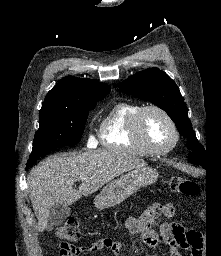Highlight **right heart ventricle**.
Here are the masks:
<instances>
[{"mask_svg": "<svg viewBox=\"0 0 221 256\" xmlns=\"http://www.w3.org/2000/svg\"><path fill=\"white\" fill-rule=\"evenodd\" d=\"M142 108L133 102L115 103L102 117L99 139L107 149L145 156L148 153L131 136V125L136 113Z\"/></svg>", "mask_w": 221, "mask_h": 256, "instance_id": "right-heart-ventricle-1", "label": "right heart ventricle"}]
</instances>
